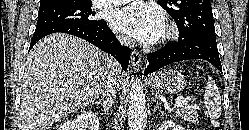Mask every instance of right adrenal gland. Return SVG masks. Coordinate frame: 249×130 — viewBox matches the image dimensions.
<instances>
[{
	"label": "right adrenal gland",
	"mask_w": 249,
	"mask_h": 130,
	"mask_svg": "<svg viewBox=\"0 0 249 130\" xmlns=\"http://www.w3.org/2000/svg\"><path fill=\"white\" fill-rule=\"evenodd\" d=\"M95 104H99L103 107V110L105 114L108 112V110L112 107V102L108 99L102 100L101 101H96Z\"/></svg>",
	"instance_id": "2a0ac1e0"
}]
</instances>
